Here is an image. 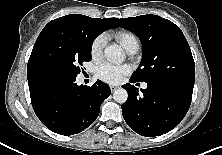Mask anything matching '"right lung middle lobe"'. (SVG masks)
I'll return each instance as SVG.
<instances>
[{"label": "right lung middle lobe", "instance_id": "dd1d6c3e", "mask_svg": "<svg viewBox=\"0 0 222 155\" xmlns=\"http://www.w3.org/2000/svg\"><path fill=\"white\" fill-rule=\"evenodd\" d=\"M105 30L91 18L49 22L38 36L29 62L52 80L76 78L82 63L91 60L94 39Z\"/></svg>", "mask_w": 222, "mask_h": 155}]
</instances>
